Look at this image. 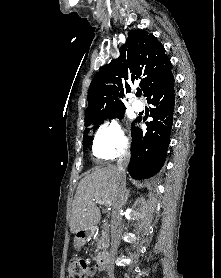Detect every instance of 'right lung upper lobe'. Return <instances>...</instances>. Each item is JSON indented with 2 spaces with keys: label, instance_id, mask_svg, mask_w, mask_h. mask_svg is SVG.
I'll return each mask as SVG.
<instances>
[{
  "label": "right lung upper lobe",
  "instance_id": "right-lung-upper-lobe-1",
  "mask_svg": "<svg viewBox=\"0 0 221 278\" xmlns=\"http://www.w3.org/2000/svg\"><path fill=\"white\" fill-rule=\"evenodd\" d=\"M172 65L163 45L144 30L128 32L126 43L120 48L118 59L104 66L92 80L88 90L85 124L98 117L125 109L121 95L139 82L146 92L171 72Z\"/></svg>",
  "mask_w": 221,
  "mask_h": 278
}]
</instances>
